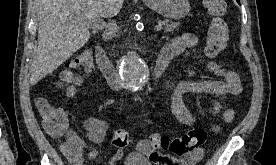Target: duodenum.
Returning a JSON list of instances; mask_svg holds the SVG:
<instances>
[{
	"mask_svg": "<svg viewBox=\"0 0 276 165\" xmlns=\"http://www.w3.org/2000/svg\"><path fill=\"white\" fill-rule=\"evenodd\" d=\"M95 57L98 68L107 80L109 86L116 90L122 89L123 82L120 75L101 45L95 47ZM168 64L169 60L166 57L159 55L153 65V75L155 77L160 76L165 71Z\"/></svg>",
	"mask_w": 276,
	"mask_h": 165,
	"instance_id": "410a0bca",
	"label": "duodenum"
}]
</instances>
